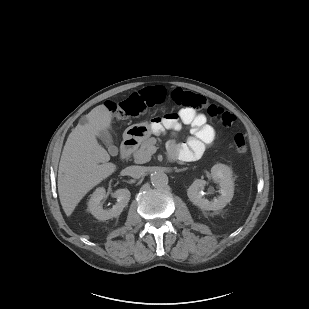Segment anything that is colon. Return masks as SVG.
<instances>
[{
    "label": "colon",
    "instance_id": "5ec220e1",
    "mask_svg": "<svg viewBox=\"0 0 309 309\" xmlns=\"http://www.w3.org/2000/svg\"><path fill=\"white\" fill-rule=\"evenodd\" d=\"M166 96V89L161 86H156L145 89L141 93L134 94L123 101H107L105 105L114 117L126 119L139 116L147 108L162 104ZM171 98L177 106L205 110L210 118L214 119L224 128H230L234 123V116L230 112L218 105L209 103L200 94L182 88H175L171 91ZM233 145L240 154L246 153L248 150L246 137L241 133L234 135Z\"/></svg>",
    "mask_w": 309,
    "mask_h": 309
}]
</instances>
